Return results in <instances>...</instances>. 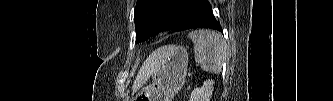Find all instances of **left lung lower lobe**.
Masks as SVG:
<instances>
[{"mask_svg": "<svg viewBox=\"0 0 333 101\" xmlns=\"http://www.w3.org/2000/svg\"><path fill=\"white\" fill-rule=\"evenodd\" d=\"M184 10L179 20L178 31L191 28H209L222 32L220 23L215 19L211 5L207 0H178Z\"/></svg>", "mask_w": 333, "mask_h": 101, "instance_id": "obj_1", "label": "left lung lower lobe"}]
</instances>
